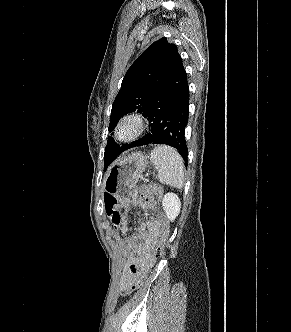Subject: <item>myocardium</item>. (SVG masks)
Listing matches in <instances>:
<instances>
[{
    "mask_svg": "<svg viewBox=\"0 0 291 332\" xmlns=\"http://www.w3.org/2000/svg\"><path fill=\"white\" fill-rule=\"evenodd\" d=\"M125 125L132 126V133L127 137H121L120 131ZM146 129V119L140 112H130L125 114L117 123L114 131L115 138L123 143L137 140Z\"/></svg>",
    "mask_w": 291,
    "mask_h": 332,
    "instance_id": "obj_1",
    "label": "myocardium"
}]
</instances>
